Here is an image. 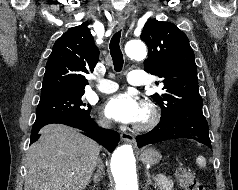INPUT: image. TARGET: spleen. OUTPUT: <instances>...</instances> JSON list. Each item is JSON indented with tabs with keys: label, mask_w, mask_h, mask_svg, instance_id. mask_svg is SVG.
<instances>
[{
	"label": "spleen",
	"mask_w": 238,
	"mask_h": 190,
	"mask_svg": "<svg viewBox=\"0 0 238 190\" xmlns=\"http://www.w3.org/2000/svg\"><path fill=\"white\" fill-rule=\"evenodd\" d=\"M197 164L201 167L204 168L206 167V159L203 156H199L196 160Z\"/></svg>",
	"instance_id": "spleen-1"
}]
</instances>
